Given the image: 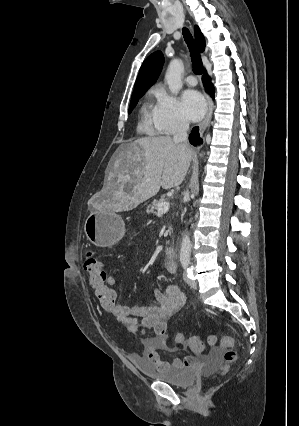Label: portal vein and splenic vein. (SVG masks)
<instances>
[{
    "instance_id": "18ae733b",
    "label": "portal vein and splenic vein",
    "mask_w": 299,
    "mask_h": 426,
    "mask_svg": "<svg viewBox=\"0 0 299 426\" xmlns=\"http://www.w3.org/2000/svg\"><path fill=\"white\" fill-rule=\"evenodd\" d=\"M169 207H170V203L169 202L160 203L158 205V209H157L158 215L167 212L169 210Z\"/></svg>"
}]
</instances>
